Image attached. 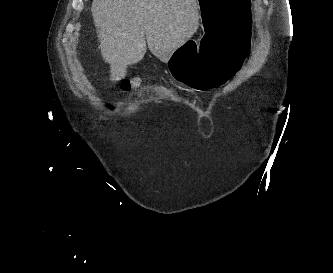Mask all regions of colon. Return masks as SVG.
Masks as SVG:
<instances>
[{
    "label": "colon",
    "mask_w": 333,
    "mask_h": 273,
    "mask_svg": "<svg viewBox=\"0 0 333 273\" xmlns=\"http://www.w3.org/2000/svg\"><path fill=\"white\" fill-rule=\"evenodd\" d=\"M137 83H138V81H130V80H126V81L123 82V84H122V88H123L124 90H128V89L131 88V86H132L133 84H137Z\"/></svg>",
    "instance_id": "obj_1"
}]
</instances>
